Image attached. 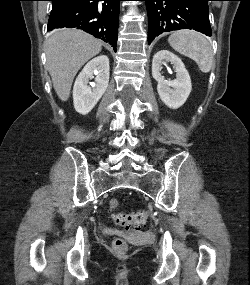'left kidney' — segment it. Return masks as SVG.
<instances>
[{"label":"left kidney","mask_w":250,"mask_h":285,"mask_svg":"<svg viewBox=\"0 0 250 285\" xmlns=\"http://www.w3.org/2000/svg\"><path fill=\"white\" fill-rule=\"evenodd\" d=\"M167 62L175 68L176 79L166 80L161 73L162 65ZM152 76L157 81V91L165 105L178 109L187 100L192 84L188 71L179 57L168 50L158 51L152 60Z\"/></svg>","instance_id":"left-kidney-1"}]
</instances>
